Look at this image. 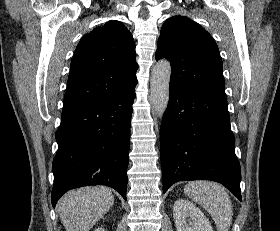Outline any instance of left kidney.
Instances as JSON below:
<instances>
[{
    "mask_svg": "<svg viewBox=\"0 0 280 231\" xmlns=\"http://www.w3.org/2000/svg\"><path fill=\"white\" fill-rule=\"evenodd\" d=\"M173 217L177 231H213L201 209L187 199H176Z\"/></svg>",
    "mask_w": 280,
    "mask_h": 231,
    "instance_id": "obj_1",
    "label": "left kidney"
}]
</instances>
